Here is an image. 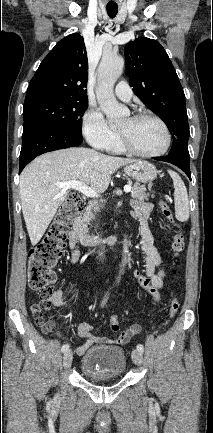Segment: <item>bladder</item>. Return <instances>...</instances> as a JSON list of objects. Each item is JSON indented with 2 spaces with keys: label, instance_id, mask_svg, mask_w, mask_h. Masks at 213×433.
<instances>
[{
  "label": "bladder",
  "instance_id": "obj_1",
  "mask_svg": "<svg viewBox=\"0 0 213 433\" xmlns=\"http://www.w3.org/2000/svg\"><path fill=\"white\" fill-rule=\"evenodd\" d=\"M126 370V356L122 348L97 345L88 349L80 360V371L91 379L121 377Z\"/></svg>",
  "mask_w": 213,
  "mask_h": 433
}]
</instances>
